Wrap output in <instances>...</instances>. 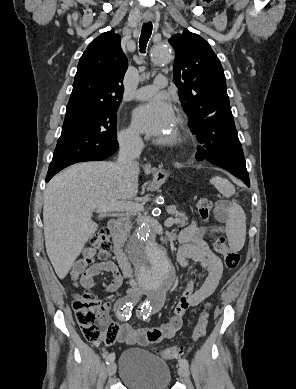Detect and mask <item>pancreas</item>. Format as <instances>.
<instances>
[{
  "label": "pancreas",
  "mask_w": 296,
  "mask_h": 389,
  "mask_svg": "<svg viewBox=\"0 0 296 389\" xmlns=\"http://www.w3.org/2000/svg\"><path fill=\"white\" fill-rule=\"evenodd\" d=\"M167 212L174 216V224H176L178 227H184L188 223V217L182 213L176 210L174 206H167ZM131 230V221L126 220L124 223L120 225L119 228V236L122 240V242H125L129 236Z\"/></svg>",
  "instance_id": "pancreas-1"
}]
</instances>
